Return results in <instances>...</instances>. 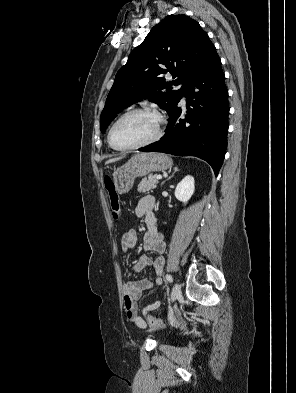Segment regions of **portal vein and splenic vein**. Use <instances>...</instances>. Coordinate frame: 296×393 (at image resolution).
Here are the masks:
<instances>
[{"instance_id": "portal-vein-and-splenic-vein-1", "label": "portal vein and splenic vein", "mask_w": 296, "mask_h": 393, "mask_svg": "<svg viewBox=\"0 0 296 393\" xmlns=\"http://www.w3.org/2000/svg\"><path fill=\"white\" fill-rule=\"evenodd\" d=\"M156 179H157V180H161V179H162V176H161V175H157V176H156Z\"/></svg>"}]
</instances>
